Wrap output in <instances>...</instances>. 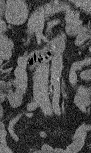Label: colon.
Wrapping results in <instances>:
<instances>
[{"instance_id": "1", "label": "colon", "mask_w": 91, "mask_h": 153, "mask_svg": "<svg viewBox=\"0 0 91 153\" xmlns=\"http://www.w3.org/2000/svg\"><path fill=\"white\" fill-rule=\"evenodd\" d=\"M0 30H1L0 41L2 42V47H3V46H6L8 44L9 39L6 36V34L4 33L5 27L3 25H0Z\"/></svg>"}]
</instances>
